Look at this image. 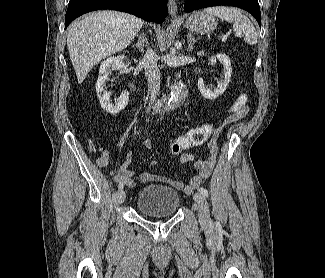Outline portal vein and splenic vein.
<instances>
[{"label": "portal vein and splenic vein", "instance_id": "portal-vein-and-splenic-vein-1", "mask_svg": "<svg viewBox=\"0 0 325 278\" xmlns=\"http://www.w3.org/2000/svg\"><path fill=\"white\" fill-rule=\"evenodd\" d=\"M226 40H227V36L224 35V36L222 37V42H225Z\"/></svg>", "mask_w": 325, "mask_h": 278}]
</instances>
